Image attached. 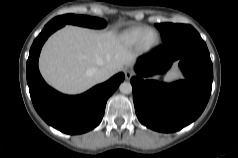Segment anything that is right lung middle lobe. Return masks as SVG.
Returning a JSON list of instances; mask_svg holds the SVG:
<instances>
[{"label":"right lung middle lobe","mask_w":238,"mask_h":158,"mask_svg":"<svg viewBox=\"0 0 238 158\" xmlns=\"http://www.w3.org/2000/svg\"><path fill=\"white\" fill-rule=\"evenodd\" d=\"M49 23H63L64 25L74 24L90 28H103L106 26V22L100 18L74 14H66L55 17Z\"/></svg>","instance_id":"right-lung-middle-lobe-1"}]
</instances>
